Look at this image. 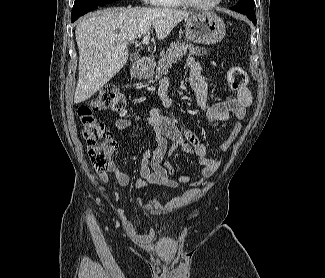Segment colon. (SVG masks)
I'll return each instance as SVG.
<instances>
[{"mask_svg":"<svg viewBox=\"0 0 325 278\" xmlns=\"http://www.w3.org/2000/svg\"><path fill=\"white\" fill-rule=\"evenodd\" d=\"M228 81L234 90H238L247 84L248 76L243 68L232 66L228 70ZM125 105V96L119 88L107 86L100 90L89 103L80 105L77 110L91 163L98 172H105L108 169L111 156L116 149V142L95 113L109 111L122 114Z\"/></svg>","mask_w":325,"mask_h":278,"instance_id":"colon-1","label":"colon"}]
</instances>
